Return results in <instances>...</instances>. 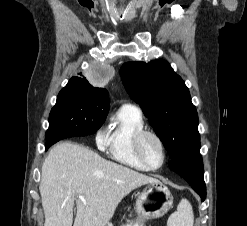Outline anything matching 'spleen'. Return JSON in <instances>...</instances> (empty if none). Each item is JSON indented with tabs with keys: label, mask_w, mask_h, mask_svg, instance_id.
I'll return each instance as SVG.
<instances>
[{
	"label": "spleen",
	"mask_w": 247,
	"mask_h": 226,
	"mask_svg": "<svg viewBox=\"0 0 247 226\" xmlns=\"http://www.w3.org/2000/svg\"><path fill=\"white\" fill-rule=\"evenodd\" d=\"M193 223L192 206L187 199H182L178 204L177 211L169 217L167 226H193Z\"/></svg>",
	"instance_id": "1"
}]
</instances>
